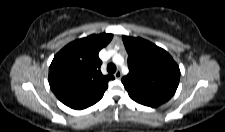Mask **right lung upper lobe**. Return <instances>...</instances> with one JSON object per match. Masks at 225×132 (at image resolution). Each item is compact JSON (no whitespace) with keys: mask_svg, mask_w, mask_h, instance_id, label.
I'll list each match as a JSON object with an SVG mask.
<instances>
[{"mask_svg":"<svg viewBox=\"0 0 225 132\" xmlns=\"http://www.w3.org/2000/svg\"><path fill=\"white\" fill-rule=\"evenodd\" d=\"M112 37L93 34L69 43L55 55L49 67V84L62 103L82 110L103 97L108 81L114 77L101 73L98 53Z\"/></svg>","mask_w":225,"mask_h":132,"instance_id":"cb5924a9","label":"right lung upper lobe"}]
</instances>
